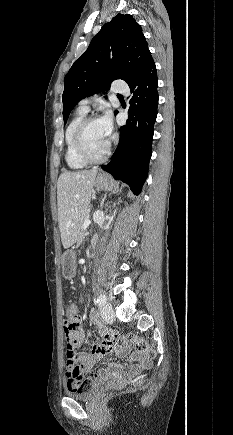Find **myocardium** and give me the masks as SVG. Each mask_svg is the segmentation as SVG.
<instances>
[{"label":"myocardium","instance_id":"1","mask_svg":"<svg viewBox=\"0 0 233 435\" xmlns=\"http://www.w3.org/2000/svg\"><path fill=\"white\" fill-rule=\"evenodd\" d=\"M100 120L97 116L91 115L84 117L78 126L76 127L75 133H74V144L75 148L77 150V153L79 156L86 161L87 163H100L107 159V157L110 155L111 149H112V143L113 140L110 139L106 150L103 154L95 156L90 153L88 150L86 143H85V131L87 127L95 121Z\"/></svg>","mask_w":233,"mask_h":435}]
</instances>
